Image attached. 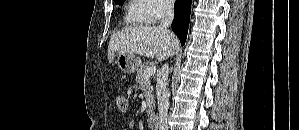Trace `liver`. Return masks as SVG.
<instances>
[{
    "label": "liver",
    "mask_w": 299,
    "mask_h": 130,
    "mask_svg": "<svg viewBox=\"0 0 299 130\" xmlns=\"http://www.w3.org/2000/svg\"><path fill=\"white\" fill-rule=\"evenodd\" d=\"M179 49L178 38L160 26H130L113 34L108 46V61L112 63L115 52L157 58L162 61Z\"/></svg>",
    "instance_id": "liver-1"
}]
</instances>
